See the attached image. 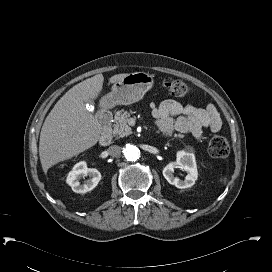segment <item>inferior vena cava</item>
I'll return each instance as SVG.
<instances>
[{
  "instance_id": "1",
  "label": "inferior vena cava",
  "mask_w": 272,
  "mask_h": 272,
  "mask_svg": "<svg viewBox=\"0 0 272 272\" xmlns=\"http://www.w3.org/2000/svg\"><path fill=\"white\" fill-rule=\"evenodd\" d=\"M121 147L118 145H112L108 148L109 155L118 157L121 154Z\"/></svg>"
}]
</instances>
